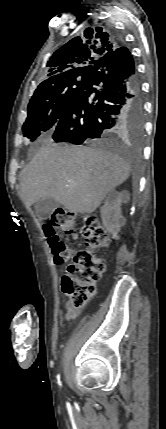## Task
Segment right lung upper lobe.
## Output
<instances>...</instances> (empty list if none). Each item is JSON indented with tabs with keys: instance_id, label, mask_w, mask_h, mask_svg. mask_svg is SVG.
I'll return each instance as SVG.
<instances>
[{
	"instance_id": "right-lung-upper-lobe-1",
	"label": "right lung upper lobe",
	"mask_w": 166,
	"mask_h": 429,
	"mask_svg": "<svg viewBox=\"0 0 166 429\" xmlns=\"http://www.w3.org/2000/svg\"><path fill=\"white\" fill-rule=\"evenodd\" d=\"M120 47L112 33L102 32L100 28L86 29L82 35L72 38L50 57L45 68V80L34 94L46 91L59 81L92 71L96 60Z\"/></svg>"
}]
</instances>
